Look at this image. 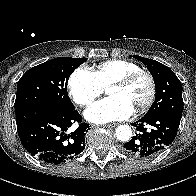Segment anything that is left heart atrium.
Listing matches in <instances>:
<instances>
[{"mask_svg": "<svg viewBox=\"0 0 196 196\" xmlns=\"http://www.w3.org/2000/svg\"><path fill=\"white\" fill-rule=\"evenodd\" d=\"M134 107L120 96H109L96 102L85 111V117L98 124L119 121L129 118Z\"/></svg>", "mask_w": 196, "mask_h": 196, "instance_id": "obj_1", "label": "left heart atrium"}]
</instances>
